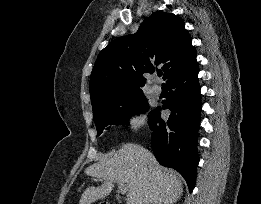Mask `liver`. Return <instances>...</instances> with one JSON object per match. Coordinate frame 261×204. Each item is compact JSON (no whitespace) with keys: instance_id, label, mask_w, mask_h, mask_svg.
<instances>
[{"instance_id":"liver-1","label":"liver","mask_w":261,"mask_h":204,"mask_svg":"<svg viewBox=\"0 0 261 204\" xmlns=\"http://www.w3.org/2000/svg\"><path fill=\"white\" fill-rule=\"evenodd\" d=\"M89 176L102 178L104 184L88 187L79 204H91L107 197L115 181L127 185L126 204H173L183 193L178 174L163 168L144 147L126 143L113 155L85 170Z\"/></svg>"}]
</instances>
